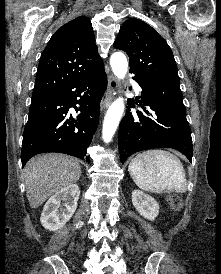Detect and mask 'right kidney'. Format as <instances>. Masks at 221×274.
Masks as SVG:
<instances>
[{
	"label": "right kidney",
	"mask_w": 221,
	"mask_h": 274,
	"mask_svg": "<svg viewBox=\"0 0 221 274\" xmlns=\"http://www.w3.org/2000/svg\"><path fill=\"white\" fill-rule=\"evenodd\" d=\"M80 189L69 185L56 192L45 204L40 222L45 229L56 231L63 227L77 209Z\"/></svg>",
	"instance_id": "right-kidney-1"
}]
</instances>
